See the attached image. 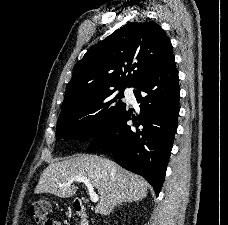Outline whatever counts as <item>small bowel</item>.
<instances>
[{
  "label": "small bowel",
  "instance_id": "small-bowel-1",
  "mask_svg": "<svg viewBox=\"0 0 228 225\" xmlns=\"http://www.w3.org/2000/svg\"><path fill=\"white\" fill-rule=\"evenodd\" d=\"M54 225H61L60 222L54 221Z\"/></svg>",
  "mask_w": 228,
  "mask_h": 225
}]
</instances>
